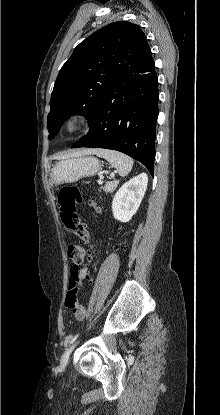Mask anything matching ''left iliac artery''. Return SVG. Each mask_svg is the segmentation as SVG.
Wrapping results in <instances>:
<instances>
[{
	"label": "left iliac artery",
	"mask_w": 220,
	"mask_h": 415,
	"mask_svg": "<svg viewBox=\"0 0 220 415\" xmlns=\"http://www.w3.org/2000/svg\"><path fill=\"white\" fill-rule=\"evenodd\" d=\"M79 336V334H76L74 337H73V339L71 340V342L70 343H73L76 339H77V337Z\"/></svg>",
	"instance_id": "obj_1"
}]
</instances>
